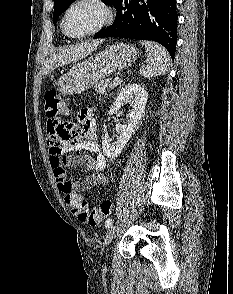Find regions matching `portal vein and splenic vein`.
<instances>
[{
  "label": "portal vein and splenic vein",
  "instance_id": "1",
  "mask_svg": "<svg viewBox=\"0 0 233 294\" xmlns=\"http://www.w3.org/2000/svg\"><path fill=\"white\" fill-rule=\"evenodd\" d=\"M114 80L117 81V82H119V81H121V78L120 77H115Z\"/></svg>",
  "mask_w": 233,
  "mask_h": 294
}]
</instances>
